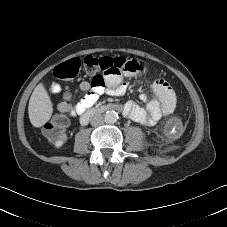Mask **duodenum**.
<instances>
[{
    "mask_svg": "<svg viewBox=\"0 0 227 227\" xmlns=\"http://www.w3.org/2000/svg\"><path fill=\"white\" fill-rule=\"evenodd\" d=\"M106 108L103 106L100 107H96L93 109H89L87 111L84 112V114L81 117L80 123L81 125L85 126L88 124V122L98 113L104 111Z\"/></svg>",
    "mask_w": 227,
    "mask_h": 227,
    "instance_id": "1",
    "label": "duodenum"
}]
</instances>
